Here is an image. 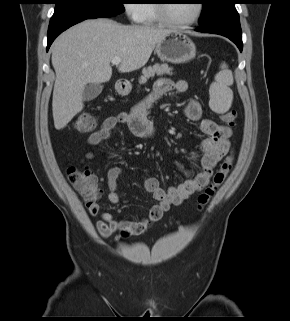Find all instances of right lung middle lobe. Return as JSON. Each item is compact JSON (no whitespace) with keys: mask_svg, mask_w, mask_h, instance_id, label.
<instances>
[{"mask_svg":"<svg viewBox=\"0 0 290 321\" xmlns=\"http://www.w3.org/2000/svg\"><path fill=\"white\" fill-rule=\"evenodd\" d=\"M124 0H54L50 22L69 19L111 17L125 11Z\"/></svg>","mask_w":290,"mask_h":321,"instance_id":"right-lung-middle-lobe-1","label":"right lung middle lobe"}]
</instances>
